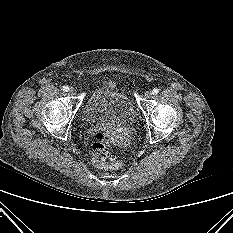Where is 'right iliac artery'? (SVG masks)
Returning <instances> with one entry per match:
<instances>
[{
	"mask_svg": "<svg viewBox=\"0 0 233 233\" xmlns=\"http://www.w3.org/2000/svg\"><path fill=\"white\" fill-rule=\"evenodd\" d=\"M63 91L68 92L69 91V87L68 86H63Z\"/></svg>",
	"mask_w": 233,
	"mask_h": 233,
	"instance_id": "obj_1",
	"label": "right iliac artery"
}]
</instances>
